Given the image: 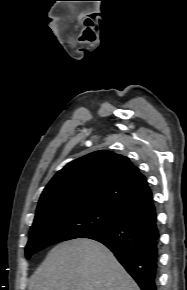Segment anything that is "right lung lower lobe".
<instances>
[{
    "label": "right lung lower lobe",
    "instance_id": "obj_1",
    "mask_svg": "<svg viewBox=\"0 0 187 290\" xmlns=\"http://www.w3.org/2000/svg\"><path fill=\"white\" fill-rule=\"evenodd\" d=\"M86 238L106 245L141 290H157L160 234L156 212L131 217Z\"/></svg>",
    "mask_w": 187,
    "mask_h": 290
}]
</instances>
